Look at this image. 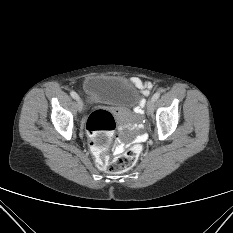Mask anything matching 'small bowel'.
Here are the masks:
<instances>
[{
	"instance_id": "1",
	"label": "small bowel",
	"mask_w": 233,
	"mask_h": 233,
	"mask_svg": "<svg viewBox=\"0 0 233 233\" xmlns=\"http://www.w3.org/2000/svg\"><path fill=\"white\" fill-rule=\"evenodd\" d=\"M131 80L142 91L144 95L149 94V91L152 87V85L149 82H144L137 77H134ZM124 149H125V144L122 141L118 140V143L114 148V152L116 154H120L124 151Z\"/></svg>"
}]
</instances>
